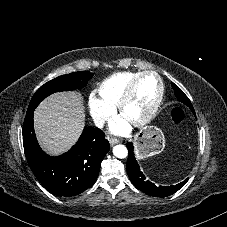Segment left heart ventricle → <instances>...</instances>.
Here are the masks:
<instances>
[{"mask_svg": "<svg viewBox=\"0 0 227 227\" xmlns=\"http://www.w3.org/2000/svg\"><path fill=\"white\" fill-rule=\"evenodd\" d=\"M158 92V82L151 75L144 76L137 85L135 95L126 106L123 117L130 123L146 114Z\"/></svg>", "mask_w": 227, "mask_h": 227, "instance_id": "b2bd125f", "label": "left heart ventricle"}]
</instances>
